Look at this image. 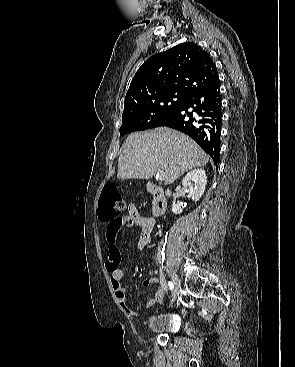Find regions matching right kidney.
Returning a JSON list of instances; mask_svg holds the SVG:
<instances>
[{"label": "right kidney", "instance_id": "ca27d5eb", "mask_svg": "<svg viewBox=\"0 0 295 367\" xmlns=\"http://www.w3.org/2000/svg\"><path fill=\"white\" fill-rule=\"evenodd\" d=\"M194 182V185H193ZM207 176L204 169H194L186 174L183 178L181 185L182 189L188 193V196L193 201H198L206 188ZM181 186L176 188L178 192ZM172 211L175 214H180L182 212V203H175V199L172 203Z\"/></svg>", "mask_w": 295, "mask_h": 367}]
</instances>
